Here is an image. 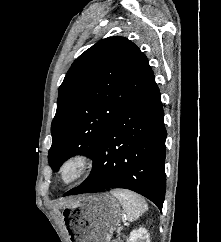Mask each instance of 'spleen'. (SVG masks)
<instances>
[{"mask_svg":"<svg viewBox=\"0 0 221 242\" xmlns=\"http://www.w3.org/2000/svg\"><path fill=\"white\" fill-rule=\"evenodd\" d=\"M110 193L119 200L130 222L136 221L148 210L145 199L132 191L126 189H113Z\"/></svg>","mask_w":221,"mask_h":242,"instance_id":"1","label":"spleen"}]
</instances>
